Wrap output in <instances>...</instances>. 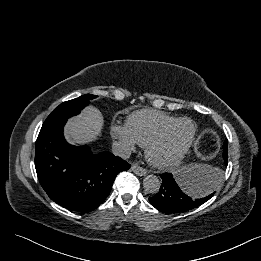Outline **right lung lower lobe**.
I'll list each match as a JSON object with an SVG mask.
<instances>
[{
    "mask_svg": "<svg viewBox=\"0 0 261 261\" xmlns=\"http://www.w3.org/2000/svg\"><path fill=\"white\" fill-rule=\"evenodd\" d=\"M68 118L44 122L36 141L35 167L48 196L69 210L89 212L109 195L117 174L130 165L104 151L93 154L88 146L66 142Z\"/></svg>",
    "mask_w": 261,
    "mask_h": 261,
    "instance_id": "obj_1",
    "label": "right lung lower lobe"
}]
</instances>
